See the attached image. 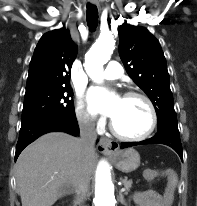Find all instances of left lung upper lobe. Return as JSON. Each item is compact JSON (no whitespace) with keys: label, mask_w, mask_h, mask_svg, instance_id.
<instances>
[{"label":"left lung upper lobe","mask_w":197,"mask_h":206,"mask_svg":"<svg viewBox=\"0 0 197 206\" xmlns=\"http://www.w3.org/2000/svg\"><path fill=\"white\" fill-rule=\"evenodd\" d=\"M119 55L133 81L152 101L158 129L178 131L166 59L158 40L146 29L126 22L118 27Z\"/></svg>","instance_id":"1"}]
</instances>
